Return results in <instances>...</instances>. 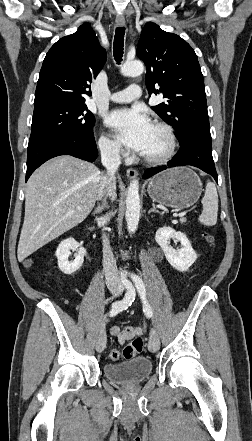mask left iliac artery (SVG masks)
I'll list each match as a JSON object with an SVG mask.
<instances>
[{
	"label": "left iliac artery",
	"instance_id": "1",
	"mask_svg": "<svg viewBox=\"0 0 252 441\" xmlns=\"http://www.w3.org/2000/svg\"><path fill=\"white\" fill-rule=\"evenodd\" d=\"M131 278L133 280V282L135 283V286L137 288V291L142 299L143 302V312L148 316V317H152L153 312H152V308L149 305L148 301H147V297H146V289H145V284L143 282V280L135 274L131 275Z\"/></svg>",
	"mask_w": 252,
	"mask_h": 441
}]
</instances>
